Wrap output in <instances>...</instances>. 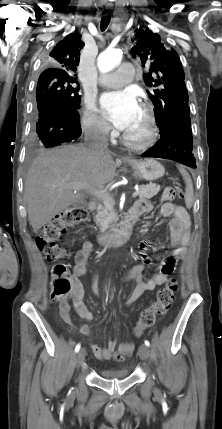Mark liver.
Returning a JSON list of instances; mask_svg holds the SVG:
<instances>
[{
    "mask_svg": "<svg viewBox=\"0 0 222 429\" xmlns=\"http://www.w3.org/2000/svg\"><path fill=\"white\" fill-rule=\"evenodd\" d=\"M116 172L108 150L91 151L86 146L65 145L42 151L28 170L24 195L28 220L36 233L57 214L74 203H82L84 194L74 189L85 183L91 189H103Z\"/></svg>",
    "mask_w": 222,
    "mask_h": 429,
    "instance_id": "1",
    "label": "liver"
}]
</instances>
